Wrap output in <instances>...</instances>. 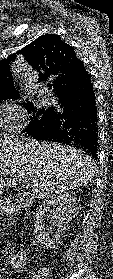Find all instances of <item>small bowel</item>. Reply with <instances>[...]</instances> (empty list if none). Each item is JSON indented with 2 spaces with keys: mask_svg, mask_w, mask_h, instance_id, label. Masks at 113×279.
Wrapping results in <instances>:
<instances>
[{
  "mask_svg": "<svg viewBox=\"0 0 113 279\" xmlns=\"http://www.w3.org/2000/svg\"><path fill=\"white\" fill-rule=\"evenodd\" d=\"M21 264V260L19 259L18 256H15L13 258V260L11 261V265L12 266H19ZM0 279H2V277L0 276Z\"/></svg>",
  "mask_w": 113,
  "mask_h": 279,
  "instance_id": "1",
  "label": "small bowel"
}]
</instances>
